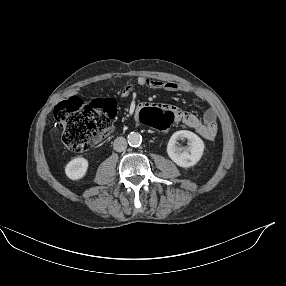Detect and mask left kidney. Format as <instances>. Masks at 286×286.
<instances>
[{"instance_id":"5707ae66","label":"left kidney","mask_w":286,"mask_h":286,"mask_svg":"<svg viewBox=\"0 0 286 286\" xmlns=\"http://www.w3.org/2000/svg\"><path fill=\"white\" fill-rule=\"evenodd\" d=\"M184 138L188 140V146H177L178 140ZM204 147V142L198 135L188 130H180L171 136L167 145V154L178 166L188 168L201 159Z\"/></svg>"}]
</instances>
